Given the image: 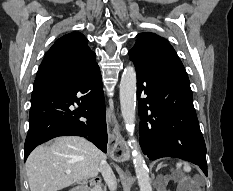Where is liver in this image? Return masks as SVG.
I'll use <instances>...</instances> for the list:
<instances>
[{
  "label": "liver",
  "instance_id": "liver-1",
  "mask_svg": "<svg viewBox=\"0 0 233 191\" xmlns=\"http://www.w3.org/2000/svg\"><path fill=\"white\" fill-rule=\"evenodd\" d=\"M106 155L78 136L55 138L31 152L26 161L30 191H58L76 182L94 178ZM71 171L66 174V171Z\"/></svg>",
  "mask_w": 233,
  "mask_h": 191
}]
</instances>
